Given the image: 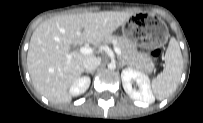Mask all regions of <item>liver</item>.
I'll return each mask as SVG.
<instances>
[{
	"instance_id": "liver-1",
	"label": "liver",
	"mask_w": 203,
	"mask_h": 123,
	"mask_svg": "<svg viewBox=\"0 0 203 123\" xmlns=\"http://www.w3.org/2000/svg\"><path fill=\"white\" fill-rule=\"evenodd\" d=\"M133 14L105 11L59 15L42 22L31 36L27 54L28 71L36 91L53 104L69 103L72 97L68 89L82 75L83 61L94 57L70 53V46L106 42Z\"/></svg>"
}]
</instances>
